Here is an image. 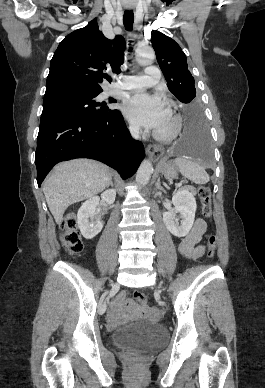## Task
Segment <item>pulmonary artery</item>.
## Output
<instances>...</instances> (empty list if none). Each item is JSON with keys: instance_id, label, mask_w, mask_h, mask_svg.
Returning a JSON list of instances; mask_svg holds the SVG:
<instances>
[{"instance_id": "1", "label": "pulmonary artery", "mask_w": 265, "mask_h": 388, "mask_svg": "<svg viewBox=\"0 0 265 388\" xmlns=\"http://www.w3.org/2000/svg\"><path fill=\"white\" fill-rule=\"evenodd\" d=\"M146 71L149 75H118L116 80L120 83H115L113 88L115 90H131L134 94H141L143 86H154L156 82H161L162 77L158 75V69L155 64H146ZM127 82H129L127 84ZM114 94V91L110 92Z\"/></svg>"}]
</instances>
